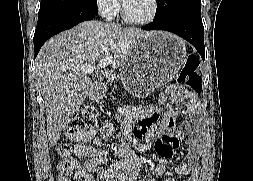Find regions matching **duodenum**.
<instances>
[{
    "label": "duodenum",
    "instance_id": "duodenum-1",
    "mask_svg": "<svg viewBox=\"0 0 253 181\" xmlns=\"http://www.w3.org/2000/svg\"><path fill=\"white\" fill-rule=\"evenodd\" d=\"M105 93V88L102 84L98 83L94 86L93 90L89 93L90 99L99 101Z\"/></svg>",
    "mask_w": 253,
    "mask_h": 181
}]
</instances>
